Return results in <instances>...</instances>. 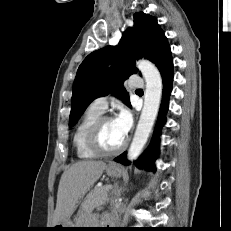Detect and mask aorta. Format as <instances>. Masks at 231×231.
Returning <instances> with one entry per match:
<instances>
[{"label": "aorta", "instance_id": "aorta-1", "mask_svg": "<svg viewBox=\"0 0 231 231\" xmlns=\"http://www.w3.org/2000/svg\"><path fill=\"white\" fill-rule=\"evenodd\" d=\"M136 66L145 79L146 89L144 106L128 151V159L130 161L136 160L139 157L149 138L158 114L163 89L160 72L153 63L148 60H139Z\"/></svg>", "mask_w": 231, "mask_h": 231}]
</instances>
